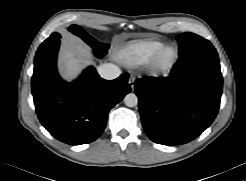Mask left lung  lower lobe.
<instances>
[{"label": "left lung lower lobe", "mask_w": 246, "mask_h": 181, "mask_svg": "<svg viewBox=\"0 0 246 181\" xmlns=\"http://www.w3.org/2000/svg\"><path fill=\"white\" fill-rule=\"evenodd\" d=\"M179 56L169 77H144L135 83L146 134L169 146L188 143L210 126L223 86L213 45Z\"/></svg>", "instance_id": "obj_1"}]
</instances>
